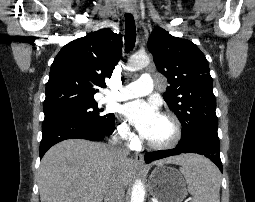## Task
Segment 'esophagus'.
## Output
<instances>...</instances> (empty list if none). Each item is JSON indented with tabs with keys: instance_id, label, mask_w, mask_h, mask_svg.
I'll list each match as a JSON object with an SVG mask.
<instances>
[{
	"instance_id": "34e87169",
	"label": "esophagus",
	"mask_w": 255,
	"mask_h": 202,
	"mask_svg": "<svg viewBox=\"0 0 255 202\" xmlns=\"http://www.w3.org/2000/svg\"><path fill=\"white\" fill-rule=\"evenodd\" d=\"M126 12L129 13V14L133 13L132 9H126ZM134 163L138 168H144L145 167L144 157L141 153H135L134 154Z\"/></svg>"
}]
</instances>
